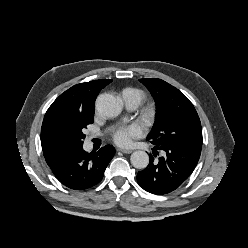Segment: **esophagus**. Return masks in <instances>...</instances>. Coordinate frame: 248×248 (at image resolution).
Listing matches in <instances>:
<instances>
[{
    "label": "esophagus",
    "instance_id": "esophagus-1",
    "mask_svg": "<svg viewBox=\"0 0 248 248\" xmlns=\"http://www.w3.org/2000/svg\"><path fill=\"white\" fill-rule=\"evenodd\" d=\"M118 151L125 153V154H130L133 152V150L131 149H123V148H119Z\"/></svg>",
    "mask_w": 248,
    "mask_h": 248
}]
</instances>
